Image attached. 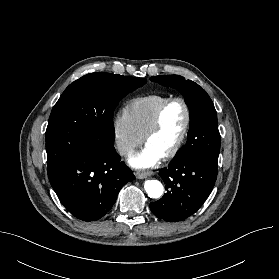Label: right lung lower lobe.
Wrapping results in <instances>:
<instances>
[{"label":"right lung lower lobe","mask_w":279,"mask_h":279,"mask_svg":"<svg viewBox=\"0 0 279 279\" xmlns=\"http://www.w3.org/2000/svg\"><path fill=\"white\" fill-rule=\"evenodd\" d=\"M135 179L115 148L81 151L49 179L65 208L77 219L96 221L107 214L120 189Z\"/></svg>","instance_id":"right-lung-lower-lobe-1"}]
</instances>
